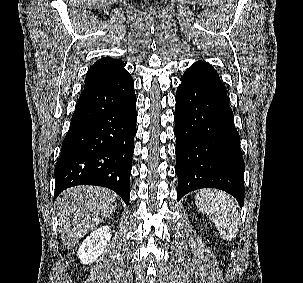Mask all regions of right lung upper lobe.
Instances as JSON below:
<instances>
[{
	"label": "right lung upper lobe",
	"mask_w": 303,
	"mask_h": 283,
	"mask_svg": "<svg viewBox=\"0 0 303 283\" xmlns=\"http://www.w3.org/2000/svg\"><path fill=\"white\" fill-rule=\"evenodd\" d=\"M124 66L125 64L121 60L102 57L90 67L84 90L111 82L123 76L127 73Z\"/></svg>",
	"instance_id": "cb5924a9"
}]
</instances>
